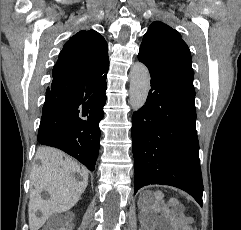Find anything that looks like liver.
I'll use <instances>...</instances> for the list:
<instances>
[{"instance_id":"liver-1","label":"liver","mask_w":241,"mask_h":230,"mask_svg":"<svg viewBox=\"0 0 241 230\" xmlns=\"http://www.w3.org/2000/svg\"><path fill=\"white\" fill-rule=\"evenodd\" d=\"M35 159L40 164L33 165L31 174L34 189L28 205L30 230L41 228L51 214L70 210L88 184V170L58 149L41 147ZM73 173H78L81 180H77ZM42 189L50 192V200L41 198ZM38 211L40 216H37Z\"/></svg>"}]
</instances>
